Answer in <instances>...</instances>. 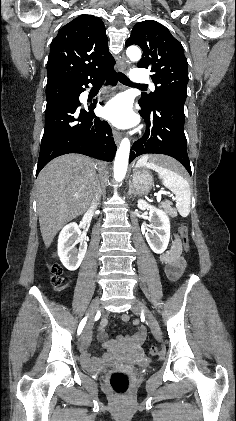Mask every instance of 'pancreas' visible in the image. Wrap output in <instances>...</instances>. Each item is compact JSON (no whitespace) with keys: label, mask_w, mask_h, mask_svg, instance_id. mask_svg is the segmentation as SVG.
Segmentation results:
<instances>
[{"label":"pancreas","mask_w":236,"mask_h":421,"mask_svg":"<svg viewBox=\"0 0 236 421\" xmlns=\"http://www.w3.org/2000/svg\"><path fill=\"white\" fill-rule=\"evenodd\" d=\"M171 204L172 202H169V200H165V202H161V208H165L166 213H168V215H171V217H177L176 208H172Z\"/></svg>","instance_id":"cf45deb5"}]
</instances>
